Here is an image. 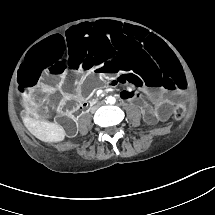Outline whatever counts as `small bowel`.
Returning a JSON list of instances; mask_svg holds the SVG:
<instances>
[{"mask_svg":"<svg viewBox=\"0 0 215 215\" xmlns=\"http://www.w3.org/2000/svg\"><path fill=\"white\" fill-rule=\"evenodd\" d=\"M132 97V95H129V94H122V98L124 100H127V99H130Z\"/></svg>","mask_w":215,"mask_h":215,"instance_id":"obj_1","label":"small bowel"}]
</instances>
